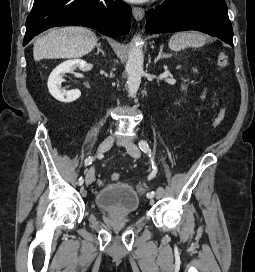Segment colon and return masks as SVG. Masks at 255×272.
<instances>
[{
    "mask_svg": "<svg viewBox=\"0 0 255 272\" xmlns=\"http://www.w3.org/2000/svg\"><path fill=\"white\" fill-rule=\"evenodd\" d=\"M217 64L221 70H225L228 67L229 60H228V57L225 53L221 52L217 55ZM224 117H225V107L222 105L217 112L214 126L218 127L222 123V121L224 120ZM119 179H120L119 173H112L111 174L112 181H118Z\"/></svg>",
    "mask_w": 255,
    "mask_h": 272,
    "instance_id": "5ec220e1",
    "label": "colon"
}]
</instances>
